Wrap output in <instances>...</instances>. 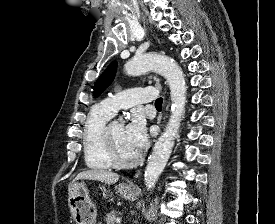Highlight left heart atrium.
<instances>
[{
	"label": "left heart atrium",
	"instance_id": "39dd6f15",
	"mask_svg": "<svg viewBox=\"0 0 275 224\" xmlns=\"http://www.w3.org/2000/svg\"><path fill=\"white\" fill-rule=\"evenodd\" d=\"M124 137L128 145L136 153H139L148 142L146 125L140 115H134L124 128Z\"/></svg>",
	"mask_w": 275,
	"mask_h": 224
}]
</instances>
